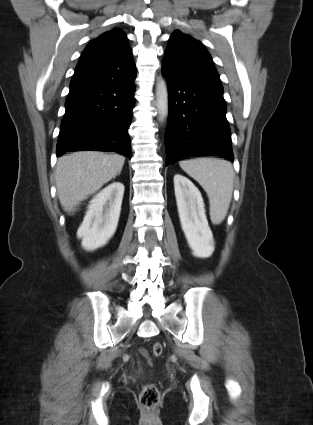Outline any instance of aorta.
I'll list each match as a JSON object with an SVG mask.
<instances>
[{
  "label": "aorta",
  "mask_w": 313,
  "mask_h": 425,
  "mask_svg": "<svg viewBox=\"0 0 313 425\" xmlns=\"http://www.w3.org/2000/svg\"><path fill=\"white\" fill-rule=\"evenodd\" d=\"M156 106L159 112V120L163 121L168 114V88L163 77H160L156 84Z\"/></svg>",
  "instance_id": "obj_1"
}]
</instances>
